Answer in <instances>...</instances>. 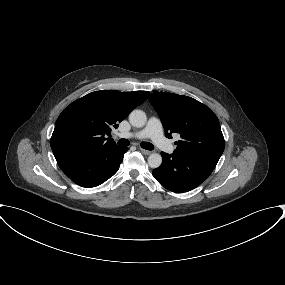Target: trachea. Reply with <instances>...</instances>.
Listing matches in <instances>:
<instances>
[{
    "instance_id": "3493384b",
    "label": "trachea",
    "mask_w": 285,
    "mask_h": 285,
    "mask_svg": "<svg viewBox=\"0 0 285 285\" xmlns=\"http://www.w3.org/2000/svg\"><path fill=\"white\" fill-rule=\"evenodd\" d=\"M118 144L120 146H128L129 141L127 139H120V140H118ZM140 145L143 149H146V150H153L154 149V146L150 142H142Z\"/></svg>"
}]
</instances>
